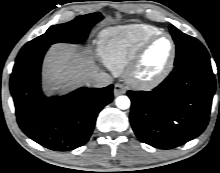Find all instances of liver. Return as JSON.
I'll return each mask as SVG.
<instances>
[{
    "label": "liver",
    "instance_id": "1",
    "mask_svg": "<svg viewBox=\"0 0 220 173\" xmlns=\"http://www.w3.org/2000/svg\"><path fill=\"white\" fill-rule=\"evenodd\" d=\"M94 61L84 51L71 44H53L43 63V80L48 93L69 91L88 85L89 79L96 74Z\"/></svg>",
    "mask_w": 220,
    "mask_h": 173
}]
</instances>
